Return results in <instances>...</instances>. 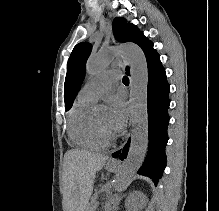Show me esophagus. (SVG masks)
Returning <instances> with one entry per match:
<instances>
[{
  "mask_svg": "<svg viewBox=\"0 0 219 211\" xmlns=\"http://www.w3.org/2000/svg\"><path fill=\"white\" fill-rule=\"evenodd\" d=\"M117 60L119 61V65H120L122 68H125V67H126L127 61L125 60V58H124L121 54H118V55H117ZM112 163L120 164V162H118L117 160H112Z\"/></svg>",
  "mask_w": 219,
  "mask_h": 211,
  "instance_id": "obj_1",
  "label": "esophagus"
}]
</instances>
